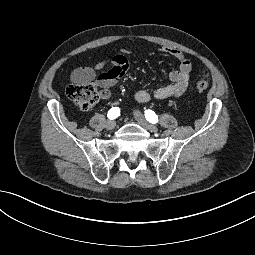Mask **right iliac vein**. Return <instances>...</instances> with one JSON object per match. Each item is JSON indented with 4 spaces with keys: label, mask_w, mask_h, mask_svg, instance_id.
Returning a JSON list of instances; mask_svg holds the SVG:
<instances>
[{
    "label": "right iliac vein",
    "mask_w": 255,
    "mask_h": 255,
    "mask_svg": "<svg viewBox=\"0 0 255 255\" xmlns=\"http://www.w3.org/2000/svg\"><path fill=\"white\" fill-rule=\"evenodd\" d=\"M115 126H116V122L115 121H108L106 123V128L108 130H113L115 128Z\"/></svg>",
    "instance_id": "1"
}]
</instances>
